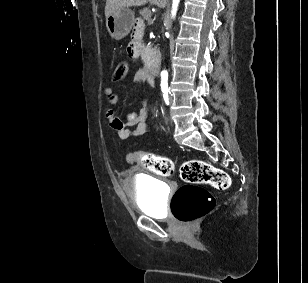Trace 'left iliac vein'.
<instances>
[{
	"label": "left iliac vein",
	"instance_id": "1",
	"mask_svg": "<svg viewBox=\"0 0 308 283\" xmlns=\"http://www.w3.org/2000/svg\"><path fill=\"white\" fill-rule=\"evenodd\" d=\"M170 102H172V98H170Z\"/></svg>",
	"mask_w": 308,
	"mask_h": 283
}]
</instances>
